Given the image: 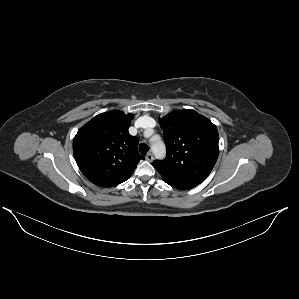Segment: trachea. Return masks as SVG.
<instances>
[{
	"mask_svg": "<svg viewBox=\"0 0 299 299\" xmlns=\"http://www.w3.org/2000/svg\"><path fill=\"white\" fill-rule=\"evenodd\" d=\"M139 151L141 154L145 155L149 151V146L145 143L139 145Z\"/></svg>",
	"mask_w": 299,
	"mask_h": 299,
	"instance_id": "obj_1",
	"label": "trachea"
}]
</instances>
